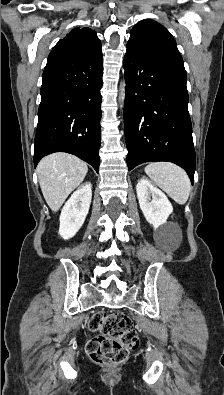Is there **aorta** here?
<instances>
[{
    "instance_id": "obj_1",
    "label": "aorta",
    "mask_w": 224,
    "mask_h": 395,
    "mask_svg": "<svg viewBox=\"0 0 224 395\" xmlns=\"http://www.w3.org/2000/svg\"><path fill=\"white\" fill-rule=\"evenodd\" d=\"M124 99H125V83H121L119 100L123 102Z\"/></svg>"
}]
</instances>
